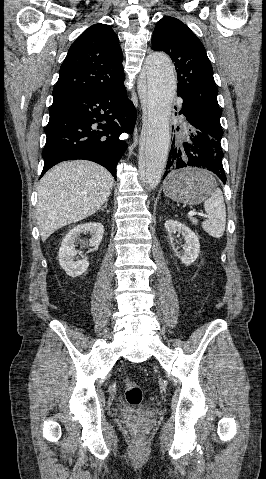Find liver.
<instances>
[{
  "instance_id": "6515ba94",
  "label": "liver",
  "mask_w": 266,
  "mask_h": 479,
  "mask_svg": "<svg viewBox=\"0 0 266 479\" xmlns=\"http://www.w3.org/2000/svg\"><path fill=\"white\" fill-rule=\"evenodd\" d=\"M114 179L104 167L85 160L49 170L38 187L37 225L42 241L59 228L95 214L108 200Z\"/></svg>"
}]
</instances>
